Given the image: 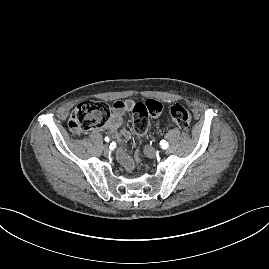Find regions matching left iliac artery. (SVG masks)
Instances as JSON below:
<instances>
[{
	"label": "left iliac artery",
	"instance_id": "44dca946",
	"mask_svg": "<svg viewBox=\"0 0 269 269\" xmlns=\"http://www.w3.org/2000/svg\"><path fill=\"white\" fill-rule=\"evenodd\" d=\"M160 146L162 149H167L169 147V144L165 140H161Z\"/></svg>",
	"mask_w": 269,
	"mask_h": 269
}]
</instances>
